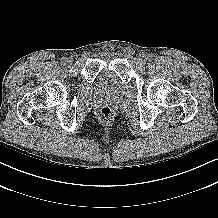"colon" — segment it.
I'll return each mask as SVG.
<instances>
[{
  "mask_svg": "<svg viewBox=\"0 0 218 218\" xmlns=\"http://www.w3.org/2000/svg\"><path fill=\"white\" fill-rule=\"evenodd\" d=\"M98 116L103 121H109L112 117V111L108 107H102L98 111Z\"/></svg>",
  "mask_w": 218,
  "mask_h": 218,
  "instance_id": "1",
  "label": "colon"
}]
</instances>
